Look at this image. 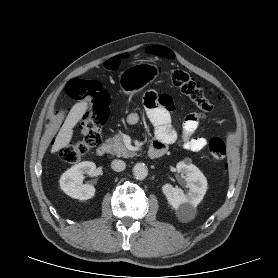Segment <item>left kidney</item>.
<instances>
[{"label": "left kidney", "mask_w": 278, "mask_h": 278, "mask_svg": "<svg viewBox=\"0 0 278 278\" xmlns=\"http://www.w3.org/2000/svg\"><path fill=\"white\" fill-rule=\"evenodd\" d=\"M176 168L179 173L186 175L189 190L187 193H184L180 188H175L171 184H165L162 186L163 194L175 210L185 211L197 207L207 191L206 177L193 164L179 162Z\"/></svg>", "instance_id": "1"}]
</instances>
